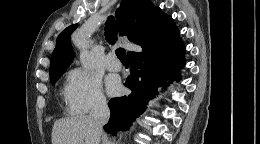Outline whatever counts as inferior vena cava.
I'll return each instance as SVG.
<instances>
[{
	"instance_id": "inferior-vena-cava-1",
	"label": "inferior vena cava",
	"mask_w": 260,
	"mask_h": 144,
	"mask_svg": "<svg viewBox=\"0 0 260 144\" xmlns=\"http://www.w3.org/2000/svg\"><path fill=\"white\" fill-rule=\"evenodd\" d=\"M109 117L110 110L107 105L106 99L101 97L97 98L92 106L90 118L100 136L103 132V126L108 122Z\"/></svg>"
}]
</instances>
